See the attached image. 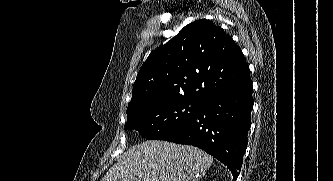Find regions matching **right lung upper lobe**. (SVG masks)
<instances>
[{"label":"right lung upper lobe","mask_w":333,"mask_h":181,"mask_svg":"<svg viewBox=\"0 0 333 181\" xmlns=\"http://www.w3.org/2000/svg\"><path fill=\"white\" fill-rule=\"evenodd\" d=\"M249 80L248 64L233 39L211 21L197 20L149 55L137 75L127 112L164 100L202 101Z\"/></svg>","instance_id":"obj_1"}]
</instances>
